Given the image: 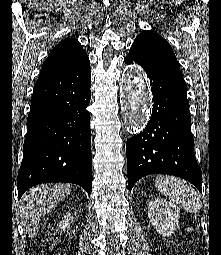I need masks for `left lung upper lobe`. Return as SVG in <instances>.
<instances>
[{"label": "left lung upper lobe", "mask_w": 221, "mask_h": 255, "mask_svg": "<svg viewBox=\"0 0 221 255\" xmlns=\"http://www.w3.org/2000/svg\"><path fill=\"white\" fill-rule=\"evenodd\" d=\"M130 50L140 53L158 66L169 71L175 77L183 79L178 61L170 44L157 32L142 31L135 39Z\"/></svg>", "instance_id": "1"}]
</instances>
